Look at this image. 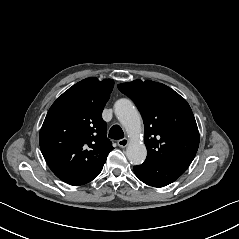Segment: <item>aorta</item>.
I'll return each instance as SVG.
<instances>
[{
  "mask_svg": "<svg viewBox=\"0 0 239 239\" xmlns=\"http://www.w3.org/2000/svg\"><path fill=\"white\" fill-rule=\"evenodd\" d=\"M114 113L120 123L126 128L128 136L133 140L142 130L141 116L132 101L126 98L117 100ZM126 156L133 165L142 163L147 156V149L143 143L131 142L126 149Z\"/></svg>",
  "mask_w": 239,
  "mask_h": 239,
  "instance_id": "aorta-1",
  "label": "aorta"
}]
</instances>
